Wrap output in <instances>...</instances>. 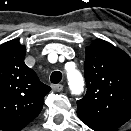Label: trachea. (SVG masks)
<instances>
[{"label":"trachea","instance_id":"1","mask_svg":"<svg viewBox=\"0 0 131 131\" xmlns=\"http://www.w3.org/2000/svg\"><path fill=\"white\" fill-rule=\"evenodd\" d=\"M62 79V73L59 71H55L51 74L50 76V81L54 84H57L61 81Z\"/></svg>","mask_w":131,"mask_h":131}]
</instances>
